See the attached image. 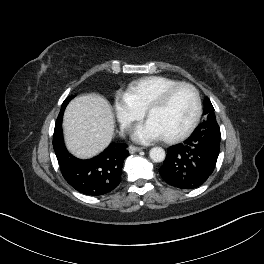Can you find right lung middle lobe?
<instances>
[{
  "instance_id": "obj_1",
  "label": "right lung middle lobe",
  "mask_w": 264,
  "mask_h": 264,
  "mask_svg": "<svg viewBox=\"0 0 264 264\" xmlns=\"http://www.w3.org/2000/svg\"><path fill=\"white\" fill-rule=\"evenodd\" d=\"M73 98H74V96H71V97L65 99V101H64L63 104H62V107H61V111H60V113H63V112H64V110H65L67 104H68L69 101H70L71 99H73Z\"/></svg>"
}]
</instances>
